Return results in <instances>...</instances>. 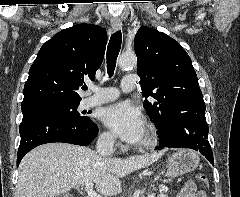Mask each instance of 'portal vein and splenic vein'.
Wrapping results in <instances>:
<instances>
[{
    "mask_svg": "<svg viewBox=\"0 0 240 197\" xmlns=\"http://www.w3.org/2000/svg\"><path fill=\"white\" fill-rule=\"evenodd\" d=\"M85 192L87 193L88 197H102L101 195L97 194L94 190H93V183H87L84 187Z\"/></svg>",
    "mask_w": 240,
    "mask_h": 197,
    "instance_id": "portal-vein-and-splenic-vein-1",
    "label": "portal vein and splenic vein"
}]
</instances>
